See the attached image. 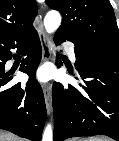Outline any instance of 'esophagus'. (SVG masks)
Segmentation results:
<instances>
[{
    "label": "esophagus",
    "instance_id": "esophagus-1",
    "mask_svg": "<svg viewBox=\"0 0 119 141\" xmlns=\"http://www.w3.org/2000/svg\"><path fill=\"white\" fill-rule=\"evenodd\" d=\"M38 34L42 47V62H45L51 58L52 52H51L49 40L47 39V36L45 34L42 25L41 17L39 18ZM43 91H44L47 113L50 114L52 111L51 86L49 84L44 85Z\"/></svg>",
    "mask_w": 119,
    "mask_h": 141
}]
</instances>
